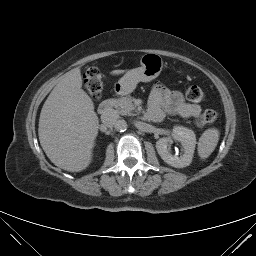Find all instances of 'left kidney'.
Here are the masks:
<instances>
[{
	"instance_id": "obj_1",
	"label": "left kidney",
	"mask_w": 256,
	"mask_h": 256,
	"mask_svg": "<svg viewBox=\"0 0 256 256\" xmlns=\"http://www.w3.org/2000/svg\"><path fill=\"white\" fill-rule=\"evenodd\" d=\"M173 139L181 142L184 154L180 157L173 156L168 150V144L171 142V138H161L156 142V149L160 157L167 164L175 168H183L192 162L195 145H196V136L195 133L185 127L175 126L173 128Z\"/></svg>"
}]
</instances>
